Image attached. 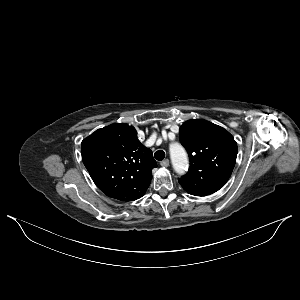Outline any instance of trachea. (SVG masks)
<instances>
[{"label":"trachea","mask_w":300,"mask_h":300,"mask_svg":"<svg viewBox=\"0 0 300 300\" xmlns=\"http://www.w3.org/2000/svg\"><path fill=\"white\" fill-rule=\"evenodd\" d=\"M154 157L158 161H162L165 157V152L163 150H158L155 152Z\"/></svg>","instance_id":"1"}]
</instances>
